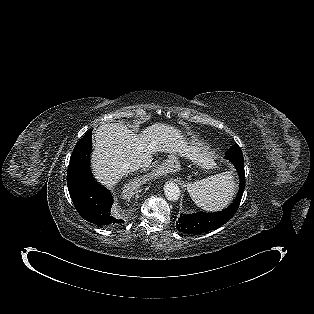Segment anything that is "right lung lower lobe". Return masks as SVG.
Wrapping results in <instances>:
<instances>
[{"label": "right lung lower lobe", "mask_w": 314, "mask_h": 314, "mask_svg": "<svg viewBox=\"0 0 314 314\" xmlns=\"http://www.w3.org/2000/svg\"><path fill=\"white\" fill-rule=\"evenodd\" d=\"M92 130L75 146L67 171V185L78 213L98 226H113L124 222L116 213H111V193L98 184L90 171Z\"/></svg>", "instance_id": "98d812e1"}]
</instances>
